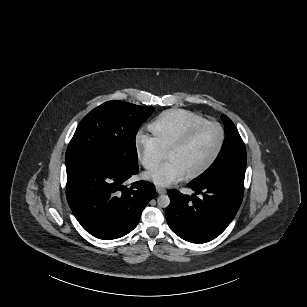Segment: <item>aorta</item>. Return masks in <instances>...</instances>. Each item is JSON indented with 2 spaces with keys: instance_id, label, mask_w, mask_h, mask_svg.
Returning a JSON list of instances; mask_svg holds the SVG:
<instances>
[{
  "instance_id": "obj_1",
  "label": "aorta",
  "mask_w": 307,
  "mask_h": 307,
  "mask_svg": "<svg viewBox=\"0 0 307 307\" xmlns=\"http://www.w3.org/2000/svg\"><path fill=\"white\" fill-rule=\"evenodd\" d=\"M157 203L160 207L162 208H166L169 206L170 204V198L167 195H161L158 197L157 199Z\"/></svg>"
}]
</instances>
